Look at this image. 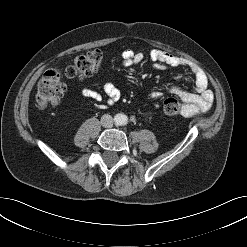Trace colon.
<instances>
[{
    "mask_svg": "<svg viewBox=\"0 0 247 247\" xmlns=\"http://www.w3.org/2000/svg\"><path fill=\"white\" fill-rule=\"evenodd\" d=\"M103 56L99 50H92L75 58L74 63L65 70V75L71 78H85L96 73ZM66 92V86L62 81V74L58 69L47 71L38 83L36 104L45 109L57 106L62 101ZM182 105L176 98H168L162 106V113L166 116H174L181 112Z\"/></svg>",
    "mask_w": 247,
    "mask_h": 247,
    "instance_id": "colon-1",
    "label": "colon"
}]
</instances>
